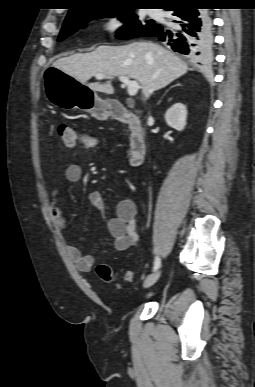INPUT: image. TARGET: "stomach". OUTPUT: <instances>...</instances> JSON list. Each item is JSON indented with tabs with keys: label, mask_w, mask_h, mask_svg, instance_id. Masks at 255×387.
Returning <instances> with one entry per match:
<instances>
[{
	"label": "stomach",
	"mask_w": 255,
	"mask_h": 387,
	"mask_svg": "<svg viewBox=\"0 0 255 387\" xmlns=\"http://www.w3.org/2000/svg\"><path fill=\"white\" fill-rule=\"evenodd\" d=\"M46 98L53 105L63 108H79L97 120L104 121L111 114L109 100L101 99L95 91L65 73V70H43Z\"/></svg>",
	"instance_id": "1"
}]
</instances>
